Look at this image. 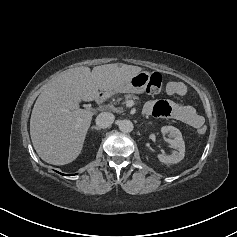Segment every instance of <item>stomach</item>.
<instances>
[{
	"mask_svg": "<svg viewBox=\"0 0 237 237\" xmlns=\"http://www.w3.org/2000/svg\"><path fill=\"white\" fill-rule=\"evenodd\" d=\"M150 73L146 71L139 72L129 80L121 84L114 92L120 93H143L149 83Z\"/></svg>",
	"mask_w": 237,
	"mask_h": 237,
	"instance_id": "stomach-1",
	"label": "stomach"
}]
</instances>
